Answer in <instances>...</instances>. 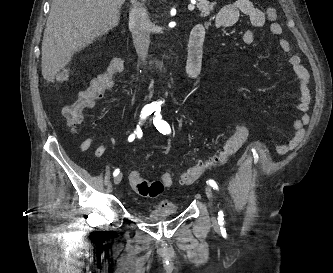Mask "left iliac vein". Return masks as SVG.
<instances>
[{
  "label": "left iliac vein",
  "mask_w": 333,
  "mask_h": 273,
  "mask_svg": "<svg viewBox=\"0 0 333 273\" xmlns=\"http://www.w3.org/2000/svg\"><path fill=\"white\" fill-rule=\"evenodd\" d=\"M204 190H205V193H206V195L208 196V198H209V200L212 202L213 201V194H212V190H211V188L209 187V186H205L204 187ZM213 209V208H212ZM211 222H212V224H216L217 223V221H216V217H215V215L212 213V216H211Z\"/></svg>",
  "instance_id": "left-iliac-vein-1"
}]
</instances>
